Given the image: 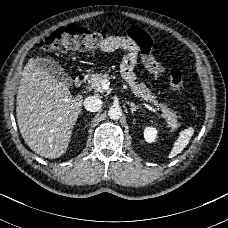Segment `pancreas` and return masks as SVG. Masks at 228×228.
Masks as SVG:
<instances>
[{
	"label": "pancreas",
	"mask_w": 228,
	"mask_h": 228,
	"mask_svg": "<svg viewBox=\"0 0 228 228\" xmlns=\"http://www.w3.org/2000/svg\"><path fill=\"white\" fill-rule=\"evenodd\" d=\"M109 74L107 73H93L90 75V79L92 82V88L98 91L99 93L103 92L101 89V82L103 80H108ZM128 86L130 87L131 91L137 95L138 97H141L146 102H151L157 107L163 108V115L167 120V125L171 128V130L177 129L178 126H180L178 122V117L176 116V112L170 111L169 108H167L166 105H160L155 101L156 96L150 91L148 87L142 82H134L130 81L128 82Z\"/></svg>",
	"instance_id": "cf45deb5"
}]
</instances>
